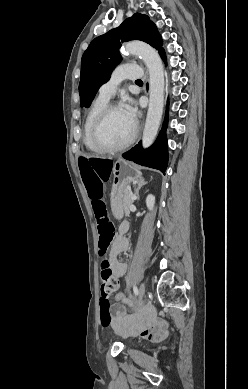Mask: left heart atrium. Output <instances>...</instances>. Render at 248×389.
<instances>
[{
  "label": "left heart atrium",
  "instance_id": "39dd6f15",
  "mask_svg": "<svg viewBox=\"0 0 248 389\" xmlns=\"http://www.w3.org/2000/svg\"><path fill=\"white\" fill-rule=\"evenodd\" d=\"M121 109L125 113V115L128 117V119L135 124L136 121V109L132 103V101L129 98H126L124 103L121 106Z\"/></svg>",
  "mask_w": 248,
  "mask_h": 389
}]
</instances>
